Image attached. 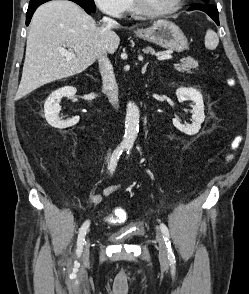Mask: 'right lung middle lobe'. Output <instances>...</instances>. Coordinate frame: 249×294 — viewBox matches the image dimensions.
<instances>
[{"label": "right lung middle lobe", "mask_w": 249, "mask_h": 294, "mask_svg": "<svg viewBox=\"0 0 249 294\" xmlns=\"http://www.w3.org/2000/svg\"><path fill=\"white\" fill-rule=\"evenodd\" d=\"M42 0H30V4L40 2ZM82 7L89 9L91 12H95L96 7L93 0H76Z\"/></svg>", "instance_id": "right-lung-middle-lobe-1"}]
</instances>
